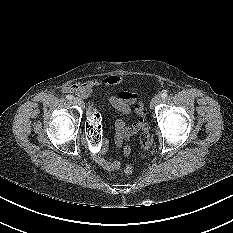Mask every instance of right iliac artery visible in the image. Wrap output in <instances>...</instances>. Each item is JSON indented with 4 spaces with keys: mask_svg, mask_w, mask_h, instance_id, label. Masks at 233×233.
Wrapping results in <instances>:
<instances>
[{
    "mask_svg": "<svg viewBox=\"0 0 233 233\" xmlns=\"http://www.w3.org/2000/svg\"><path fill=\"white\" fill-rule=\"evenodd\" d=\"M66 98H67L68 100H72V99H73V96H72V95H67Z\"/></svg>",
    "mask_w": 233,
    "mask_h": 233,
    "instance_id": "82829eb1",
    "label": "right iliac artery"
}]
</instances>
